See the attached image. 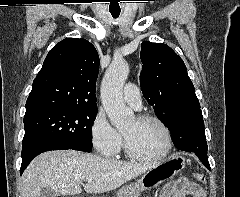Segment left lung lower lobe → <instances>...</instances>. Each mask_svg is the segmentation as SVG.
<instances>
[{
    "mask_svg": "<svg viewBox=\"0 0 240 197\" xmlns=\"http://www.w3.org/2000/svg\"><path fill=\"white\" fill-rule=\"evenodd\" d=\"M172 139L178 149L187 152H191L187 150L188 147L198 146L201 148L206 146L207 142L204 131V121H199L197 119L186 122L182 128L178 129L175 134L172 135ZM195 154L203 165L210 170L211 168L208 162L207 153L197 152Z\"/></svg>",
    "mask_w": 240,
    "mask_h": 197,
    "instance_id": "left-lung-lower-lobe-1",
    "label": "left lung lower lobe"
}]
</instances>
